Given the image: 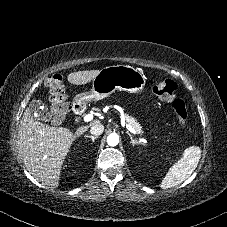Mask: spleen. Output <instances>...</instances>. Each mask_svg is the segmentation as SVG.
Returning <instances> with one entry per match:
<instances>
[{"label": "spleen", "mask_w": 227, "mask_h": 227, "mask_svg": "<svg viewBox=\"0 0 227 227\" xmlns=\"http://www.w3.org/2000/svg\"><path fill=\"white\" fill-rule=\"evenodd\" d=\"M201 157L198 146H190L184 150L181 159L173 164L160 183V188L168 189L181 184L196 169Z\"/></svg>", "instance_id": "spleen-1"}]
</instances>
